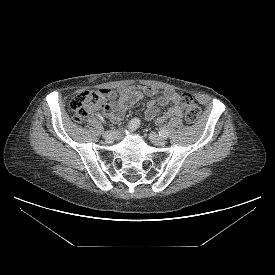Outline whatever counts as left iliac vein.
I'll list each match as a JSON object with an SVG mask.
<instances>
[{"label":"left iliac vein","mask_w":275,"mask_h":275,"mask_svg":"<svg viewBox=\"0 0 275 275\" xmlns=\"http://www.w3.org/2000/svg\"><path fill=\"white\" fill-rule=\"evenodd\" d=\"M149 139H150V141H151L153 144H155V145H157V146H163V145H165V143H166V141H165V139H164L163 137H160L159 135H157V134L154 133V132H151V133L149 134Z\"/></svg>","instance_id":"1"}]
</instances>
